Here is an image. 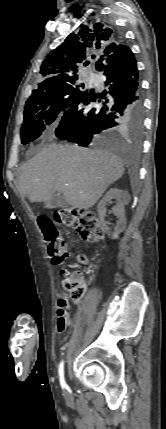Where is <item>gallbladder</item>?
I'll return each mask as SVG.
<instances>
[{"label":"gallbladder","instance_id":"obj_1","mask_svg":"<svg viewBox=\"0 0 166 429\" xmlns=\"http://www.w3.org/2000/svg\"><path fill=\"white\" fill-rule=\"evenodd\" d=\"M68 203L60 194H53L52 197L45 202L46 208L67 207Z\"/></svg>","mask_w":166,"mask_h":429}]
</instances>
